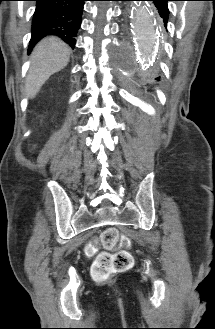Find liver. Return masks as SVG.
Instances as JSON below:
<instances>
[{
    "label": "liver",
    "mask_w": 215,
    "mask_h": 329,
    "mask_svg": "<svg viewBox=\"0 0 215 329\" xmlns=\"http://www.w3.org/2000/svg\"><path fill=\"white\" fill-rule=\"evenodd\" d=\"M70 52L69 46L54 36L44 38L35 46L25 83L29 98L37 95L51 75L67 66Z\"/></svg>",
    "instance_id": "6515ba94"
}]
</instances>
